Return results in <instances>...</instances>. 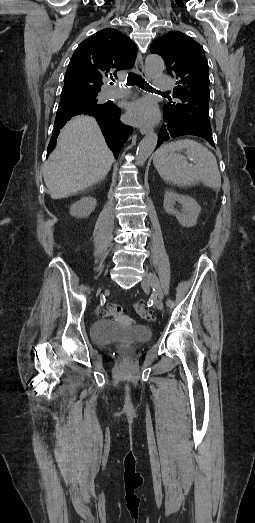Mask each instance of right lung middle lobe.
Masks as SVG:
<instances>
[{
  "instance_id": "1",
  "label": "right lung middle lobe",
  "mask_w": 255,
  "mask_h": 523,
  "mask_svg": "<svg viewBox=\"0 0 255 523\" xmlns=\"http://www.w3.org/2000/svg\"><path fill=\"white\" fill-rule=\"evenodd\" d=\"M73 106L81 109H88L90 107V96L76 95L73 97Z\"/></svg>"
}]
</instances>
